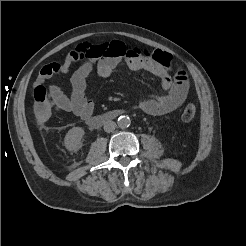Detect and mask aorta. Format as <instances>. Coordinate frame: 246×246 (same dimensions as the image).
<instances>
[{
    "label": "aorta",
    "instance_id": "762f6f07",
    "mask_svg": "<svg viewBox=\"0 0 246 246\" xmlns=\"http://www.w3.org/2000/svg\"><path fill=\"white\" fill-rule=\"evenodd\" d=\"M130 118L128 116H120L117 120V124L120 128L124 129L130 126Z\"/></svg>",
    "mask_w": 246,
    "mask_h": 246
}]
</instances>
